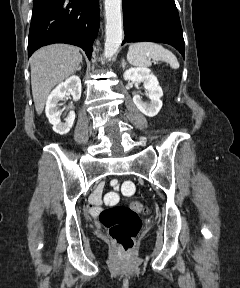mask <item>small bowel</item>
I'll use <instances>...</instances> for the list:
<instances>
[{"instance_id":"obj_1","label":"small bowel","mask_w":240,"mask_h":288,"mask_svg":"<svg viewBox=\"0 0 240 288\" xmlns=\"http://www.w3.org/2000/svg\"><path fill=\"white\" fill-rule=\"evenodd\" d=\"M114 189L118 190L119 185L117 182H112ZM101 197H102V187H98V189L94 192V194L91 197V203H90V211L91 213L95 214L99 210V206L101 204Z\"/></svg>"}]
</instances>
